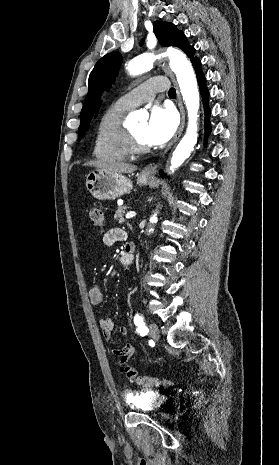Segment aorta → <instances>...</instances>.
<instances>
[{"mask_svg": "<svg viewBox=\"0 0 279 465\" xmlns=\"http://www.w3.org/2000/svg\"><path fill=\"white\" fill-rule=\"evenodd\" d=\"M166 55L170 60V68L176 74L180 92L188 111V127L186 133L172 154L171 169L174 170L182 165L190 156V153L197 143V119L200 99L196 76L186 56L182 52L173 49L167 51ZM153 59L154 58L150 55H142L130 61L127 69L131 75H140L152 66ZM141 117L142 113L139 111L132 114V118L134 119H139ZM155 219L156 214L151 217V221Z\"/></svg>", "mask_w": 279, "mask_h": 465, "instance_id": "762f6f07", "label": "aorta"}]
</instances>
